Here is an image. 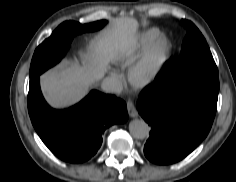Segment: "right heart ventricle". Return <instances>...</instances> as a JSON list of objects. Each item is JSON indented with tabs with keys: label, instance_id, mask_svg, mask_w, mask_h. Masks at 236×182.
Wrapping results in <instances>:
<instances>
[{
	"label": "right heart ventricle",
	"instance_id": "1",
	"mask_svg": "<svg viewBox=\"0 0 236 182\" xmlns=\"http://www.w3.org/2000/svg\"><path fill=\"white\" fill-rule=\"evenodd\" d=\"M158 35L159 31L156 29H146L141 32L129 46L126 53L120 57V63L124 66L133 64L148 49Z\"/></svg>",
	"mask_w": 236,
	"mask_h": 182
}]
</instances>
